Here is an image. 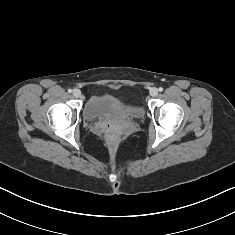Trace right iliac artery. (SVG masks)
Masks as SVG:
<instances>
[{"label": "right iliac artery", "mask_w": 235, "mask_h": 235, "mask_svg": "<svg viewBox=\"0 0 235 235\" xmlns=\"http://www.w3.org/2000/svg\"><path fill=\"white\" fill-rule=\"evenodd\" d=\"M68 92L71 93V92H72V89H68Z\"/></svg>", "instance_id": "obj_1"}]
</instances>
